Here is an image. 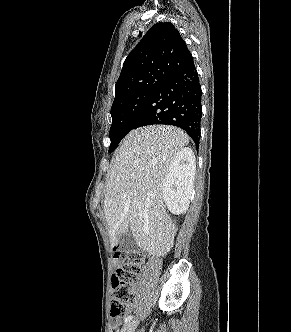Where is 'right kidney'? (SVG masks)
<instances>
[{"label": "right kidney", "mask_w": 291, "mask_h": 332, "mask_svg": "<svg viewBox=\"0 0 291 332\" xmlns=\"http://www.w3.org/2000/svg\"><path fill=\"white\" fill-rule=\"evenodd\" d=\"M195 171L192 149L187 147L179 150L168 168L163 184L164 202L171 213L178 215L188 209Z\"/></svg>", "instance_id": "obj_1"}]
</instances>
